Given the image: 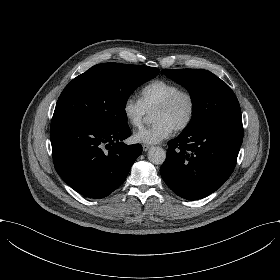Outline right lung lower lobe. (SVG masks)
<instances>
[{
  "label": "right lung lower lobe",
  "instance_id": "98d812e1",
  "mask_svg": "<svg viewBox=\"0 0 280 280\" xmlns=\"http://www.w3.org/2000/svg\"><path fill=\"white\" fill-rule=\"evenodd\" d=\"M130 135L128 125L106 128L71 118L54 119L50 138L55 169L81 195L104 198L125 181L142 152L140 144L122 142Z\"/></svg>",
  "mask_w": 280,
  "mask_h": 280
}]
</instances>
